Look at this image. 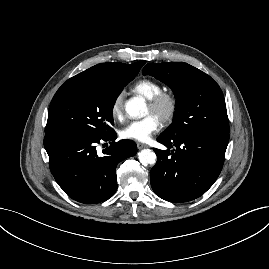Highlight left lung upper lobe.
I'll list each match as a JSON object with an SVG mask.
<instances>
[{
    "label": "left lung upper lobe",
    "instance_id": "1",
    "mask_svg": "<svg viewBox=\"0 0 269 269\" xmlns=\"http://www.w3.org/2000/svg\"><path fill=\"white\" fill-rule=\"evenodd\" d=\"M143 74L167 84L176 98L174 121L160 136L172 139L195 131L229 133L222 90L209 75L182 62L148 63Z\"/></svg>",
    "mask_w": 269,
    "mask_h": 269
}]
</instances>
